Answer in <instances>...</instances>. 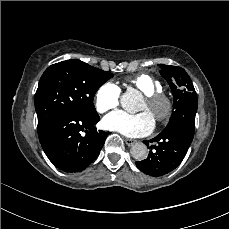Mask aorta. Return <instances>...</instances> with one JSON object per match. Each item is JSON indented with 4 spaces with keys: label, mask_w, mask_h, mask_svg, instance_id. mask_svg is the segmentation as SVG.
<instances>
[{
    "label": "aorta",
    "mask_w": 229,
    "mask_h": 229,
    "mask_svg": "<svg viewBox=\"0 0 229 229\" xmlns=\"http://www.w3.org/2000/svg\"><path fill=\"white\" fill-rule=\"evenodd\" d=\"M139 101L140 95L138 92L134 90L127 91L121 97L122 107L129 112H134L137 110ZM131 155L133 158L137 160L145 159L148 155L147 146L143 143L133 144L131 147Z\"/></svg>",
    "instance_id": "1"
}]
</instances>
